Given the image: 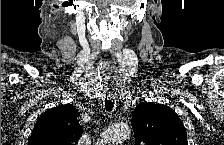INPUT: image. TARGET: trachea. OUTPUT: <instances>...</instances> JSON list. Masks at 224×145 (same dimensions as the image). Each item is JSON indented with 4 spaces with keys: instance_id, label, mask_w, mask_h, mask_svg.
Wrapping results in <instances>:
<instances>
[{
    "instance_id": "1",
    "label": "trachea",
    "mask_w": 224,
    "mask_h": 145,
    "mask_svg": "<svg viewBox=\"0 0 224 145\" xmlns=\"http://www.w3.org/2000/svg\"><path fill=\"white\" fill-rule=\"evenodd\" d=\"M113 92L112 89L108 90V92L106 93V99H105V107L107 111H111L113 106H114V99H112L111 97V93ZM110 95V97H108Z\"/></svg>"
}]
</instances>
